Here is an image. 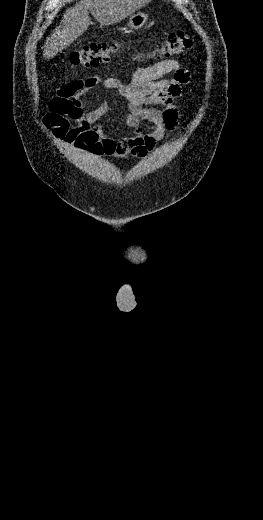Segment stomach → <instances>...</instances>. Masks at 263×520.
<instances>
[{
	"instance_id": "0dacf381",
	"label": "stomach",
	"mask_w": 263,
	"mask_h": 520,
	"mask_svg": "<svg viewBox=\"0 0 263 520\" xmlns=\"http://www.w3.org/2000/svg\"><path fill=\"white\" fill-rule=\"evenodd\" d=\"M148 20V15L144 12H137L132 15H130L128 20V28L130 30H138L142 28Z\"/></svg>"
}]
</instances>
